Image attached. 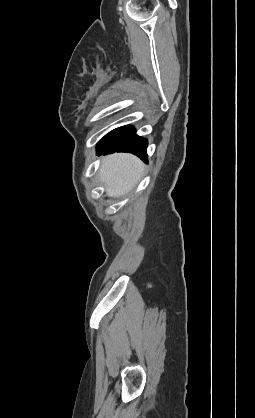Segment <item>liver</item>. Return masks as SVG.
Here are the masks:
<instances>
[{
    "label": "liver",
    "instance_id": "1",
    "mask_svg": "<svg viewBox=\"0 0 255 418\" xmlns=\"http://www.w3.org/2000/svg\"><path fill=\"white\" fill-rule=\"evenodd\" d=\"M144 164L131 154L115 153L106 156L99 174L109 197L128 194L140 181Z\"/></svg>",
    "mask_w": 255,
    "mask_h": 418
}]
</instances>
